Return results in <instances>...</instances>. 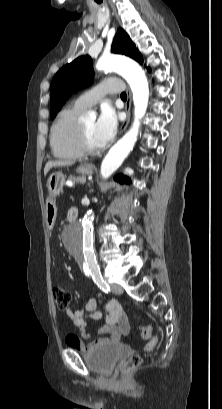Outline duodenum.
I'll use <instances>...</instances> for the list:
<instances>
[{"label":"duodenum","mask_w":222,"mask_h":409,"mask_svg":"<svg viewBox=\"0 0 222 409\" xmlns=\"http://www.w3.org/2000/svg\"><path fill=\"white\" fill-rule=\"evenodd\" d=\"M77 218H78V210H77L76 208H73V209L71 210V212L69 213V215H68V220H69L70 222H73V221H75Z\"/></svg>","instance_id":"410a0bca"}]
</instances>
